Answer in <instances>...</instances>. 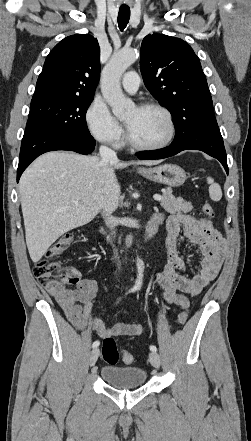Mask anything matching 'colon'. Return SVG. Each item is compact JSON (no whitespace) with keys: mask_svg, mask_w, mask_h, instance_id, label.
Listing matches in <instances>:
<instances>
[{"mask_svg":"<svg viewBox=\"0 0 251 441\" xmlns=\"http://www.w3.org/2000/svg\"><path fill=\"white\" fill-rule=\"evenodd\" d=\"M204 214L212 218L214 209L209 203L203 205ZM73 242V235L66 233L55 241L49 248L44 259L38 261L34 266V275L40 286L54 287L57 289L66 288V286L76 285L80 281V277L76 269L65 267L56 258L64 252ZM188 312L183 311L178 315V322L184 325L188 320ZM102 356L106 363L112 365L119 360V351L113 337H106L102 344ZM122 360L126 364L133 362V356L128 352L122 353Z\"/></svg>","mask_w":251,"mask_h":441,"instance_id":"1","label":"colon"}]
</instances>
